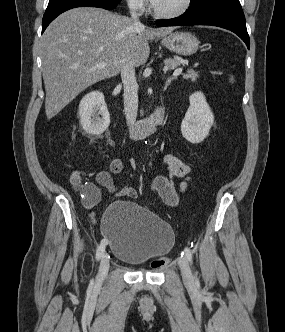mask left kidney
Instances as JSON below:
<instances>
[{"label":"left kidney","instance_id":"obj_1","mask_svg":"<svg viewBox=\"0 0 285 332\" xmlns=\"http://www.w3.org/2000/svg\"><path fill=\"white\" fill-rule=\"evenodd\" d=\"M190 106L181 123L183 137L190 143L202 142L214 124V115L202 92H195L189 97Z\"/></svg>","mask_w":285,"mask_h":332}]
</instances>
